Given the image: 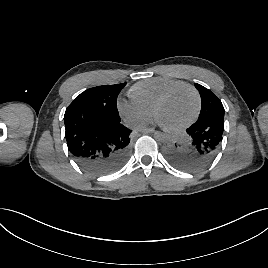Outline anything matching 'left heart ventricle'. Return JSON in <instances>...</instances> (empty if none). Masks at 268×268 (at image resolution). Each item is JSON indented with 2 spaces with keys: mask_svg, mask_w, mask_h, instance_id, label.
<instances>
[{
  "mask_svg": "<svg viewBox=\"0 0 268 268\" xmlns=\"http://www.w3.org/2000/svg\"><path fill=\"white\" fill-rule=\"evenodd\" d=\"M196 109V98L188 88L176 91L161 106L158 112L159 121L169 127L178 126L190 119Z\"/></svg>",
  "mask_w": 268,
  "mask_h": 268,
  "instance_id": "b2bd125f",
  "label": "left heart ventricle"
}]
</instances>
